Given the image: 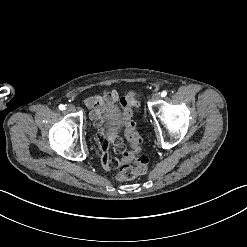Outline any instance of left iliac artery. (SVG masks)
Returning <instances> with one entry per match:
<instances>
[{"label":"left iliac artery","instance_id":"obj_1","mask_svg":"<svg viewBox=\"0 0 247 247\" xmlns=\"http://www.w3.org/2000/svg\"><path fill=\"white\" fill-rule=\"evenodd\" d=\"M166 95H167V92H166V91H162V92H161V96H162V97H165Z\"/></svg>","mask_w":247,"mask_h":247}]
</instances>
